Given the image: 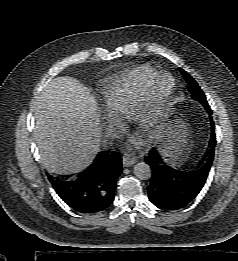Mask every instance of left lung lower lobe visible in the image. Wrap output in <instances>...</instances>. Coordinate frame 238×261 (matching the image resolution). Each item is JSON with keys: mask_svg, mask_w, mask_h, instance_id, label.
Listing matches in <instances>:
<instances>
[{"mask_svg": "<svg viewBox=\"0 0 238 261\" xmlns=\"http://www.w3.org/2000/svg\"><path fill=\"white\" fill-rule=\"evenodd\" d=\"M209 115H212L208 103H202ZM211 120L212 135L204 158L195 166L182 167L171 165L163 160L156 148H153L145 162L152 170L151 182L147 187L150 201L163 210H178L187 206L201 191L208 177L214 158L216 136Z\"/></svg>", "mask_w": 238, "mask_h": 261, "instance_id": "obj_1", "label": "left lung lower lobe"}]
</instances>
